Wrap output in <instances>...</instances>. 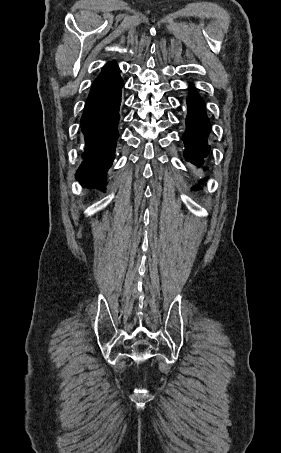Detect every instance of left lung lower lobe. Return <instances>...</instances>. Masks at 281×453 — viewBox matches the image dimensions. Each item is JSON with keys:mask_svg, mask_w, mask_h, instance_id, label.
Returning a JSON list of instances; mask_svg holds the SVG:
<instances>
[{"mask_svg": "<svg viewBox=\"0 0 281 453\" xmlns=\"http://www.w3.org/2000/svg\"><path fill=\"white\" fill-rule=\"evenodd\" d=\"M187 107V129L182 137L186 147L184 156L187 161L197 167H201L203 165V158L210 150L207 136L211 130V124L207 118L202 98L196 94L192 87L191 93L187 98ZM195 188L193 187V189Z\"/></svg>", "mask_w": 281, "mask_h": 453, "instance_id": "0a47b994", "label": "left lung lower lobe"}]
</instances>
